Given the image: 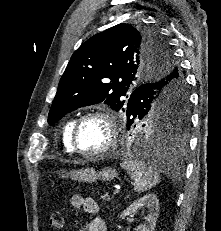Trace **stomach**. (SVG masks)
<instances>
[{
  "mask_svg": "<svg viewBox=\"0 0 221 231\" xmlns=\"http://www.w3.org/2000/svg\"><path fill=\"white\" fill-rule=\"evenodd\" d=\"M65 176L80 182L93 183L96 180L111 181L117 176V173L116 170L112 168H103L100 171H96L93 168H82L66 172L65 175L62 174V177Z\"/></svg>",
  "mask_w": 221,
  "mask_h": 231,
  "instance_id": "obj_1",
  "label": "stomach"
}]
</instances>
